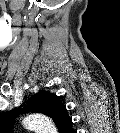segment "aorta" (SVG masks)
I'll use <instances>...</instances> for the list:
<instances>
[{
  "mask_svg": "<svg viewBox=\"0 0 120 133\" xmlns=\"http://www.w3.org/2000/svg\"><path fill=\"white\" fill-rule=\"evenodd\" d=\"M43 117L41 115H31L29 116V118H27L24 123L25 124H30V125H33V126H44L43 124Z\"/></svg>",
  "mask_w": 120,
  "mask_h": 133,
  "instance_id": "obj_1",
  "label": "aorta"
}]
</instances>
